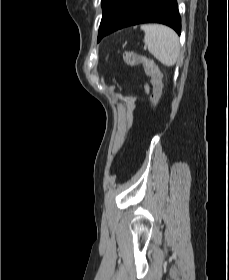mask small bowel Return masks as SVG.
Listing matches in <instances>:
<instances>
[{"mask_svg":"<svg viewBox=\"0 0 229 280\" xmlns=\"http://www.w3.org/2000/svg\"><path fill=\"white\" fill-rule=\"evenodd\" d=\"M152 64V63H151ZM143 66V68H144V70H145V72H146V74L147 75H150L149 73H148V71H147V67H146V65H142Z\"/></svg>","mask_w":229,"mask_h":280,"instance_id":"c3829d8e","label":"small bowel"}]
</instances>
